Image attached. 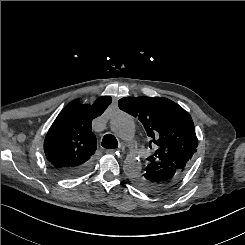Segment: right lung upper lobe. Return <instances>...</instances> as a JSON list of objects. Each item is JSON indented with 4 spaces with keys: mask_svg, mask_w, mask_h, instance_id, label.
I'll return each instance as SVG.
<instances>
[{
    "mask_svg": "<svg viewBox=\"0 0 245 245\" xmlns=\"http://www.w3.org/2000/svg\"><path fill=\"white\" fill-rule=\"evenodd\" d=\"M110 96L99 97L92 105L70 102L59 113L44 141V152L53 169L75 168L91 161L97 148L91 121L111 103Z\"/></svg>",
    "mask_w": 245,
    "mask_h": 245,
    "instance_id": "right-lung-upper-lobe-1",
    "label": "right lung upper lobe"
}]
</instances>
